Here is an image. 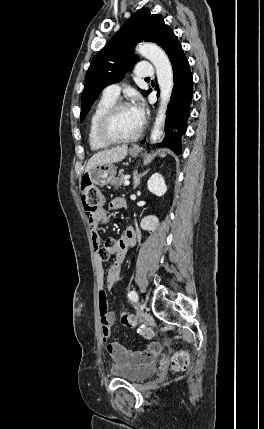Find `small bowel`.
Here are the masks:
<instances>
[{
    "label": "small bowel",
    "instance_id": "small-bowel-1",
    "mask_svg": "<svg viewBox=\"0 0 264 429\" xmlns=\"http://www.w3.org/2000/svg\"><path fill=\"white\" fill-rule=\"evenodd\" d=\"M125 200L121 197L113 198L109 203L111 210L122 209ZM108 222V216L105 210L101 209L96 216L89 217L88 223L91 230L92 244L95 251V260L97 264V281L99 290V311L101 321V331L104 339L105 349L111 359L120 367H134L150 363L154 360L160 351L157 343H149L145 349L132 351L123 345L110 341L111 327L115 323V313L108 307L106 289H112L120 279L121 267L130 247L136 244L137 236L132 227H127L120 238H107L102 244L98 227L100 224ZM110 255L114 256V262L106 273V282H104V270L102 263Z\"/></svg>",
    "mask_w": 264,
    "mask_h": 429
}]
</instances>
